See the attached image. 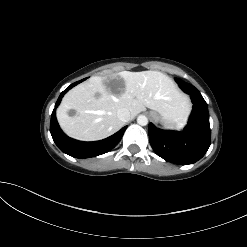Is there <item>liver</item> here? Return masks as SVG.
<instances>
[{"mask_svg":"<svg viewBox=\"0 0 247 247\" xmlns=\"http://www.w3.org/2000/svg\"><path fill=\"white\" fill-rule=\"evenodd\" d=\"M116 82L119 87L109 84ZM157 111L177 126H184L190 103L174 81L159 71H122L109 76H93L71 89L57 109V120L70 137L82 141L104 139L122 128L117 111L126 108L130 118L146 110ZM75 116H69V110Z\"/></svg>","mask_w":247,"mask_h":247,"instance_id":"liver-1","label":"liver"}]
</instances>
